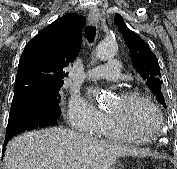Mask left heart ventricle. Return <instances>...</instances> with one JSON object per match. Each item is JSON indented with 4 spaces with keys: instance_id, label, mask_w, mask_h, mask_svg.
<instances>
[{
    "instance_id": "obj_1",
    "label": "left heart ventricle",
    "mask_w": 177,
    "mask_h": 169,
    "mask_svg": "<svg viewBox=\"0 0 177 169\" xmlns=\"http://www.w3.org/2000/svg\"><path fill=\"white\" fill-rule=\"evenodd\" d=\"M108 113L120 116L124 120L127 132L134 136L152 134L160 127L157 114L143 102L129 103L118 96L111 104Z\"/></svg>"
}]
</instances>
